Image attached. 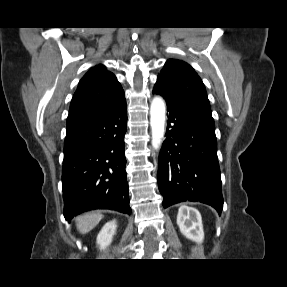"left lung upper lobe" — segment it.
Returning <instances> with one entry per match:
<instances>
[{
  "mask_svg": "<svg viewBox=\"0 0 287 287\" xmlns=\"http://www.w3.org/2000/svg\"><path fill=\"white\" fill-rule=\"evenodd\" d=\"M154 88L159 89L167 101L215 130L205 86L189 64L177 59L167 60Z\"/></svg>",
  "mask_w": 287,
  "mask_h": 287,
  "instance_id": "5c2ea615",
  "label": "left lung upper lobe"
}]
</instances>
